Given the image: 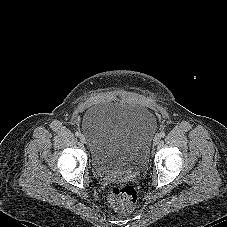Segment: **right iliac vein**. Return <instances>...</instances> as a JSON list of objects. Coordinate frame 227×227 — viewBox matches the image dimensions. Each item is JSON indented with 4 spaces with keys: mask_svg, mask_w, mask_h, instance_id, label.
<instances>
[{
    "mask_svg": "<svg viewBox=\"0 0 227 227\" xmlns=\"http://www.w3.org/2000/svg\"><path fill=\"white\" fill-rule=\"evenodd\" d=\"M80 141L82 143H86V137L84 135H80Z\"/></svg>",
    "mask_w": 227,
    "mask_h": 227,
    "instance_id": "1",
    "label": "right iliac vein"
}]
</instances>
